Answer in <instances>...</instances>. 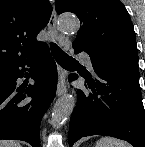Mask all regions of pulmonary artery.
<instances>
[{
    "mask_svg": "<svg viewBox=\"0 0 145 147\" xmlns=\"http://www.w3.org/2000/svg\"><path fill=\"white\" fill-rule=\"evenodd\" d=\"M79 57L85 63V65L87 66L88 69L93 70L92 61H91V58L88 54L81 53V54H79Z\"/></svg>",
    "mask_w": 145,
    "mask_h": 147,
    "instance_id": "1",
    "label": "pulmonary artery"
}]
</instances>
